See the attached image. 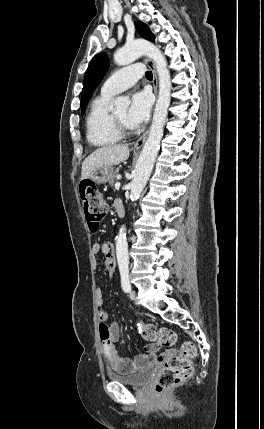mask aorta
I'll use <instances>...</instances> for the list:
<instances>
[{
    "label": "aorta",
    "mask_w": 264,
    "mask_h": 429,
    "mask_svg": "<svg viewBox=\"0 0 264 429\" xmlns=\"http://www.w3.org/2000/svg\"><path fill=\"white\" fill-rule=\"evenodd\" d=\"M142 55L148 56L155 62L159 79V95L149 134L136 163L133 179L129 185L132 198H137L141 194L151 175L163 136L172 88L170 72L167 68L165 57L157 46L147 40L137 39L127 43L115 52L114 61L120 66L128 65ZM113 104L116 108H127L130 104V99L127 97H118L114 100ZM116 256L119 269H127L129 266V256L126 228L124 226L120 228L116 239Z\"/></svg>",
    "instance_id": "obj_1"
}]
</instances>
